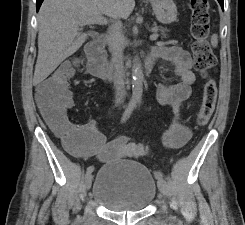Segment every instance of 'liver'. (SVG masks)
<instances>
[{
	"mask_svg": "<svg viewBox=\"0 0 245 225\" xmlns=\"http://www.w3.org/2000/svg\"><path fill=\"white\" fill-rule=\"evenodd\" d=\"M134 0H44L38 13V58L34 83L46 79L65 59L86 41L81 32L85 19L106 15L127 19Z\"/></svg>",
	"mask_w": 245,
	"mask_h": 225,
	"instance_id": "1",
	"label": "liver"
}]
</instances>
